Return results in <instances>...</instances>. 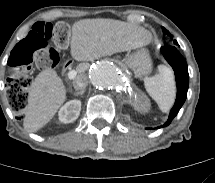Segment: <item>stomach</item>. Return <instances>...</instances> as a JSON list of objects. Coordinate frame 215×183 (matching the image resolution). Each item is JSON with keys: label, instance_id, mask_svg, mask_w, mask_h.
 Segmentation results:
<instances>
[{"label": "stomach", "instance_id": "obj_1", "mask_svg": "<svg viewBox=\"0 0 215 183\" xmlns=\"http://www.w3.org/2000/svg\"><path fill=\"white\" fill-rule=\"evenodd\" d=\"M125 64L132 69L138 77L148 74L152 68L150 56L144 49L130 54L125 59Z\"/></svg>", "mask_w": 215, "mask_h": 183}]
</instances>
